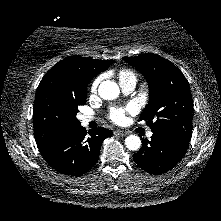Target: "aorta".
<instances>
[{
  "instance_id": "obj_1",
  "label": "aorta",
  "mask_w": 221,
  "mask_h": 221,
  "mask_svg": "<svg viewBox=\"0 0 221 221\" xmlns=\"http://www.w3.org/2000/svg\"><path fill=\"white\" fill-rule=\"evenodd\" d=\"M98 93L102 99L113 100L119 96L120 89L114 81L106 80L99 85ZM125 145L129 150L136 151L141 146V139L137 135H129L125 139Z\"/></svg>"
}]
</instances>
